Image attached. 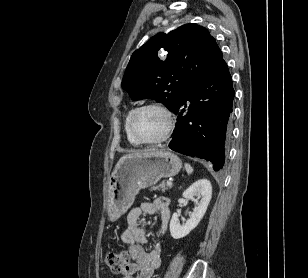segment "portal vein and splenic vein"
<instances>
[{"label": "portal vein and splenic vein", "instance_id": "1", "mask_svg": "<svg viewBox=\"0 0 308 278\" xmlns=\"http://www.w3.org/2000/svg\"><path fill=\"white\" fill-rule=\"evenodd\" d=\"M167 185H168V186H171V185H172V182H171V181H168V182H167Z\"/></svg>", "mask_w": 308, "mask_h": 278}]
</instances>
